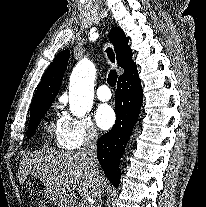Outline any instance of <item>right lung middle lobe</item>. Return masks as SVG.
Returning <instances> with one entry per match:
<instances>
[{"label":"right lung middle lobe","instance_id":"1","mask_svg":"<svg viewBox=\"0 0 206 207\" xmlns=\"http://www.w3.org/2000/svg\"><path fill=\"white\" fill-rule=\"evenodd\" d=\"M50 106L51 104H45L30 111V124H29L28 132H27L28 138L34 135L35 130L38 127V124L41 118L48 111Z\"/></svg>","mask_w":206,"mask_h":207}]
</instances>
